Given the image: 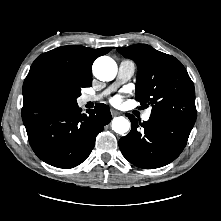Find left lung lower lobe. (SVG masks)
I'll use <instances>...</instances> for the list:
<instances>
[{
    "label": "left lung lower lobe",
    "instance_id": "obj_1",
    "mask_svg": "<svg viewBox=\"0 0 221 221\" xmlns=\"http://www.w3.org/2000/svg\"><path fill=\"white\" fill-rule=\"evenodd\" d=\"M126 116L132 128L119 140L120 150L130 163L144 169L159 168L175 160L186 146L193 128L162 116L151 115L143 123L131 114Z\"/></svg>",
    "mask_w": 221,
    "mask_h": 221
}]
</instances>
